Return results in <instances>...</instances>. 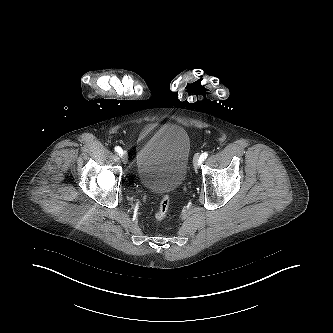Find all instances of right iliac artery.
I'll return each mask as SVG.
<instances>
[{
    "mask_svg": "<svg viewBox=\"0 0 333 333\" xmlns=\"http://www.w3.org/2000/svg\"><path fill=\"white\" fill-rule=\"evenodd\" d=\"M115 151H116L119 155H122V153H123L122 148L119 147V146H116V147H115Z\"/></svg>",
    "mask_w": 333,
    "mask_h": 333,
    "instance_id": "1",
    "label": "right iliac artery"
}]
</instances>
